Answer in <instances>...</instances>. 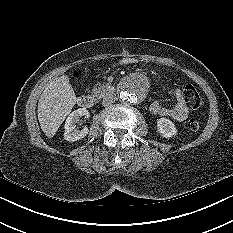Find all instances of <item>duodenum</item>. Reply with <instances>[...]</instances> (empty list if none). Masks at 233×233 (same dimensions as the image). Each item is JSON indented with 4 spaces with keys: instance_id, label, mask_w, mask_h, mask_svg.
Here are the masks:
<instances>
[{
    "instance_id": "duodenum-1",
    "label": "duodenum",
    "mask_w": 233,
    "mask_h": 233,
    "mask_svg": "<svg viewBox=\"0 0 233 233\" xmlns=\"http://www.w3.org/2000/svg\"><path fill=\"white\" fill-rule=\"evenodd\" d=\"M108 89L105 86L97 87L94 91L90 92L89 95L84 94L78 97L77 103L80 107L88 109L93 106V104H98L102 100V95L107 94Z\"/></svg>"
}]
</instances>
